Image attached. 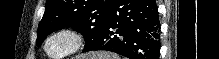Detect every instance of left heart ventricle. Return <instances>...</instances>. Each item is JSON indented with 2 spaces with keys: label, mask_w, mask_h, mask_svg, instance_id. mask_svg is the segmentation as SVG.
<instances>
[{
  "label": "left heart ventricle",
  "mask_w": 219,
  "mask_h": 59,
  "mask_svg": "<svg viewBox=\"0 0 219 59\" xmlns=\"http://www.w3.org/2000/svg\"><path fill=\"white\" fill-rule=\"evenodd\" d=\"M70 46V41L65 37H58L52 40L48 45V50L53 54H62Z\"/></svg>",
  "instance_id": "1"
}]
</instances>
